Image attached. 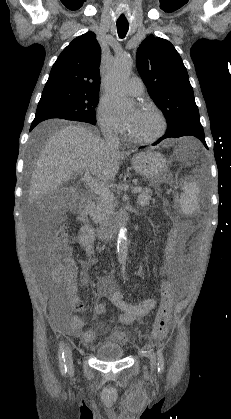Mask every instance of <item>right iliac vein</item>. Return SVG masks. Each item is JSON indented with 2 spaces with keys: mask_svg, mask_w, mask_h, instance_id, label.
I'll use <instances>...</instances> for the list:
<instances>
[{
  "mask_svg": "<svg viewBox=\"0 0 231 419\" xmlns=\"http://www.w3.org/2000/svg\"><path fill=\"white\" fill-rule=\"evenodd\" d=\"M65 361H66V365L68 370H72L73 369V357H72V349L69 345L66 346L65 348Z\"/></svg>",
  "mask_w": 231,
  "mask_h": 419,
  "instance_id": "63e3f726",
  "label": "right iliac vein"
}]
</instances>
